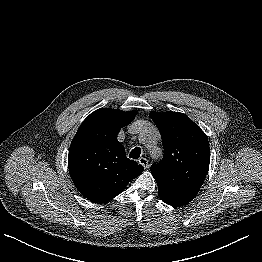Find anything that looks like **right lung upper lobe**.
Segmentation results:
<instances>
[{"mask_svg": "<svg viewBox=\"0 0 262 262\" xmlns=\"http://www.w3.org/2000/svg\"><path fill=\"white\" fill-rule=\"evenodd\" d=\"M135 118L133 111L101 108L81 124L70 145L68 168L77 190L95 203L107 202L139 176L144 167L128 159L118 142L120 129Z\"/></svg>", "mask_w": 262, "mask_h": 262, "instance_id": "1", "label": "right lung upper lobe"}]
</instances>
